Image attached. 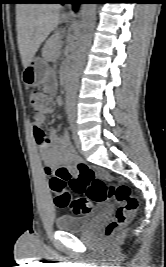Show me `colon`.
Here are the masks:
<instances>
[{
    "label": "colon",
    "mask_w": 166,
    "mask_h": 267,
    "mask_svg": "<svg viewBox=\"0 0 166 267\" xmlns=\"http://www.w3.org/2000/svg\"><path fill=\"white\" fill-rule=\"evenodd\" d=\"M35 114L50 108L51 98L39 90L28 95ZM50 188L55 193V203L60 208L69 207L76 215H85L92 210L94 203L114 200L119 204L115 218L107 224L104 236L110 238L120 228L128 224L138 208V200L132 195L127 184L110 185L98 177L94 170L84 162L78 161L71 167L60 166L52 174ZM67 185L82 197L72 198L66 190Z\"/></svg>",
    "instance_id": "obj_1"
}]
</instances>
